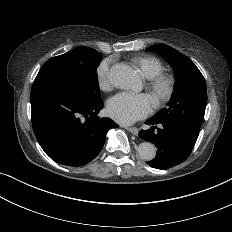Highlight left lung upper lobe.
<instances>
[{"instance_id":"5c2ea615","label":"left lung upper lobe","mask_w":232,"mask_h":232,"mask_svg":"<svg viewBox=\"0 0 232 232\" xmlns=\"http://www.w3.org/2000/svg\"><path fill=\"white\" fill-rule=\"evenodd\" d=\"M162 56L173 68L176 83L167 103L152 119L177 123L198 135L207 104L206 82L197 66L184 54L165 44L146 49Z\"/></svg>"}]
</instances>
